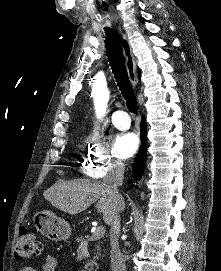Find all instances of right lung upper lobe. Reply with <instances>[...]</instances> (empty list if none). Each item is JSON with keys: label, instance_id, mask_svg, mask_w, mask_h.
I'll list each match as a JSON object with an SVG mask.
<instances>
[{"label": "right lung upper lobe", "instance_id": "cb5924a9", "mask_svg": "<svg viewBox=\"0 0 221 271\" xmlns=\"http://www.w3.org/2000/svg\"><path fill=\"white\" fill-rule=\"evenodd\" d=\"M138 75H139V78H140V70L138 69Z\"/></svg>", "mask_w": 221, "mask_h": 271}]
</instances>
